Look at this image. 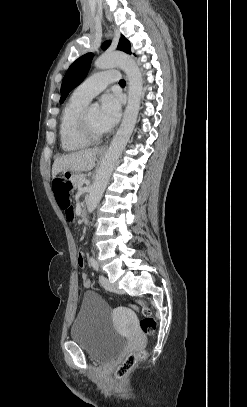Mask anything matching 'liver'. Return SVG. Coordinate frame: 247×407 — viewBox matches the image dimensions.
<instances>
[{"label": "liver", "mask_w": 247, "mask_h": 407, "mask_svg": "<svg viewBox=\"0 0 247 407\" xmlns=\"http://www.w3.org/2000/svg\"><path fill=\"white\" fill-rule=\"evenodd\" d=\"M98 151V148L85 149L56 158L52 166V177L63 171H90L95 166Z\"/></svg>", "instance_id": "liver-1"}]
</instances>
